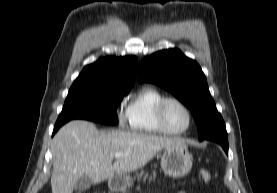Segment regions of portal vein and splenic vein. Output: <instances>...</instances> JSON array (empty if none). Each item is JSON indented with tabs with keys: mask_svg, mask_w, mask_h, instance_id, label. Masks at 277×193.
<instances>
[{
	"mask_svg": "<svg viewBox=\"0 0 277 193\" xmlns=\"http://www.w3.org/2000/svg\"><path fill=\"white\" fill-rule=\"evenodd\" d=\"M122 156H128V154H123V153H120V152H116V153L114 154V157H115V158H120V157H122Z\"/></svg>",
	"mask_w": 277,
	"mask_h": 193,
	"instance_id": "18ae733b",
	"label": "portal vein and splenic vein"
}]
</instances>
